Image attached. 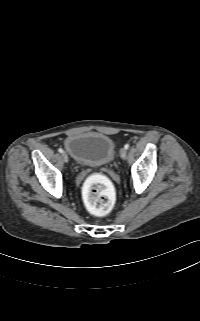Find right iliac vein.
<instances>
[{
	"label": "right iliac vein",
	"mask_w": 200,
	"mask_h": 321,
	"mask_svg": "<svg viewBox=\"0 0 200 321\" xmlns=\"http://www.w3.org/2000/svg\"><path fill=\"white\" fill-rule=\"evenodd\" d=\"M62 158H63L64 162H68V156L65 152L62 153Z\"/></svg>",
	"instance_id": "63e3f726"
}]
</instances>
